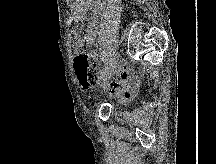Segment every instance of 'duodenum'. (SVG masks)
<instances>
[{
    "label": "duodenum",
    "instance_id": "obj_1",
    "mask_svg": "<svg viewBox=\"0 0 216 164\" xmlns=\"http://www.w3.org/2000/svg\"><path fill=\"white\" fill-rule=\"evenodd\" d=\"M105 0H93L92 10L94 13L98 14L102 11L104 7Z\"/></svg>",
    "mask_w": 216,
    "mask_h": 164
}]
</instances>
